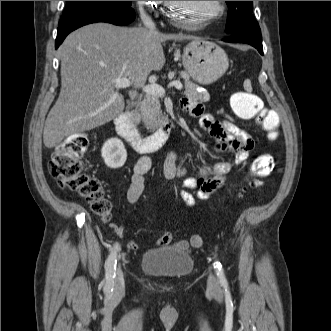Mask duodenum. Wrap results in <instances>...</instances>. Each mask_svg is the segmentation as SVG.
<instances>
[{
	"instance_id": "1",
	"label": "duodenum",
	"mask_w": 331,
	"mask_h": 331,
	"mask_svg": "<svg viewBox=\"0 0 331 331\" xmlns=\"http://www.w3.org/2000/svg\"><path fill=\"white\" fill-rule=\"evenodd\" d=\"M114 124L118 135L138 153L151 152L161 148L167 141L173 127V121L168 119L153 134L143 137L133 122L129 110L118 114L114 119Z\"/></svg>"
}]
</instances>
